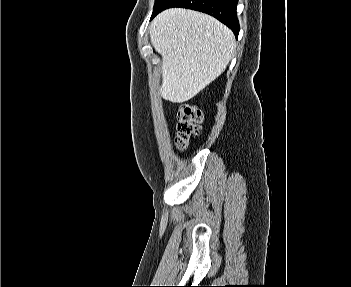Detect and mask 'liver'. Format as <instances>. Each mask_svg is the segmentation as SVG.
<instances>
[{
	"label": "liver",
	"instance_id": "liver-1",
	"mask_svg": "<svg viewBox=\"0 0 351 287\" xmlns=\"http://www.w3.org/2000/svg\"><path fill=\"white\" fill-rule=\"evenodd\" d=\"M150 38L162 56L161 95L173 103L188 101L218 78L236 44L232 31L215 18L182 8L155 17Z\"/></svg>",
	"mask_w": 351,
	"mask_h": 287
}]
</instances>
